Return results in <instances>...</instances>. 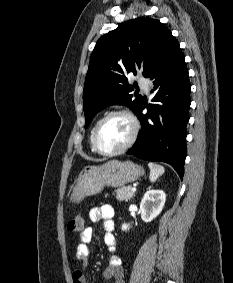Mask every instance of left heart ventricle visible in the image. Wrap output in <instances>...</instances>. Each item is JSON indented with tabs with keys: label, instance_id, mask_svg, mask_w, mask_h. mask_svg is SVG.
<instances>
[{
	"label": "left heart ventricle",
	"instance_id": "obj_1",
	"mask_svg": "<svg viewBox=\"0 0 233 283\" xmlns=\"http://www.w3.org/2000/svg\"><path fill=\"white\" fill-rule=\"evenodd\" d=\"M132 133L130 120L123 115L109 118L98 135L99 147L104 151H115L127 143Z\"/></svg>",
	"mask_w": 233,
	"mask_h": 283
}]
</instances>
